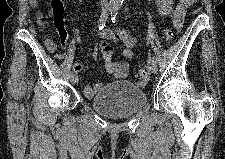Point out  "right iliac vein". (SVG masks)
Returning <instances> with one entry per match:
<instances>
[{"label": "right iliac vein", "mask_w": 225, "mask_h": 159, "mask_svg": "<svg viewBox=\"0 0 225 159\" xmlns=\"http://www.w3.org/2000/svg\"><path fill=\"white\" fill-rule=\"evenodd\" d=\"M70 81H71L72 84L78 83V76L76 74H72L70 76Z\"/></svg>", "instance_id": "right-iliac-vein-1"}]
</instances>
